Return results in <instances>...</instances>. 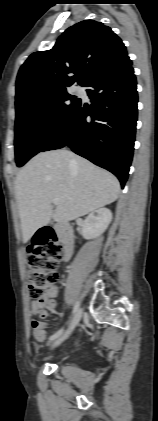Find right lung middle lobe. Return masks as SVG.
<instances>
[{"label":"right lung middle lobe","instance_id":"dd1d6c3e","mask_svg":"<svg viewBox=\"0 0 158 421\" xmlns=\"http://www.w3.org/2000/svg\"><path fill=\"white\" fill-rule=\"evenodd\" d=\"M81 100L67 89L42 93L16 104L15 158L23 166L51 140Z\"/></svg>","mask_w":158,"mask_h":421}]
</instances>
